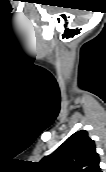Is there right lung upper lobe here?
<instances>
[{
	"instance_id": "cb5924a9",
	"label": "right lung upper lobe",
	"mask_w": 106,
	"mask_h": 172,
	"mask_svg": "<svg viewBox=\"0 0 106 172\" xmlns=\"http://www.w3.org/2000/svg\"><path fill=\"white\" fill-rule=\"evenodd\" d=\"M95 143L87 131L81 130L71 135L52 154L39 163L43 172H102Z\"/></svg>"
}]
</instances>
